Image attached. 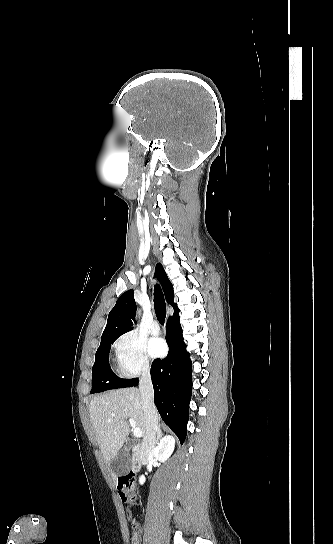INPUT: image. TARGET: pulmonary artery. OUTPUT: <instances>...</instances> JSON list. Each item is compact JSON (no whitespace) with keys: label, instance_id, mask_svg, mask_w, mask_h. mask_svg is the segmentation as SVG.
Instances as JSON below:
<instances>
[{"label":"pulmonary artery","instance_id":"1","mask_svg":"<svg viewBox=\"0 0 333 544\" xmlns=\"http://www.w3.org/2000/svg\"><path fill=\"white\" fill-rule=\"evenodd\" d=\"M150 333L154 336L158 335L160 333V325L156 320H153L150 323Z\"/></svg>","mask_w":333,"mask_h":544}]
</instances>
